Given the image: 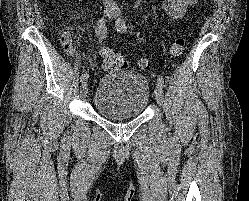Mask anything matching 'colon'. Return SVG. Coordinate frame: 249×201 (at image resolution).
<instances>
[{"label":"colon","instance_id":"colon-1","mask_svg":"<svg viewBox=\"0 0 249 201\" xmlns=\"http://www.w3.org/2000/svg\"><path fill=\"white\" fill-rule=\"evenodd\" d=\"M185 48V42L183 39H177L170 47V54L173 56H179L183 53ZM103 65L106 69H124L126 67V61L124 58L110 50H104L102 53ZM139 65L142 68L148 66L146 59L142 58L139 60Z\"/></svg>","mask_w":249,"mask_h":201}]
</instances>
